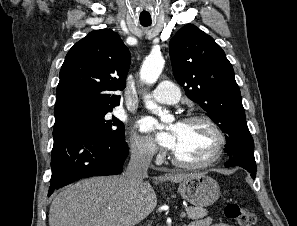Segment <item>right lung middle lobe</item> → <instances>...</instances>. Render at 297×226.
Listing matches in <instances>:
<instances>
[{
  "mask_svg": "<svg viewBox=\"0 0 297 226\" xmlns=\"http://www.w3.org/2000/svg\"><path fill=\"white\" fill-rule=\"evenodd\" d=\"M111 111L112 110H91L75 113L60 120H56L54 129L76 127L114 141L124 140V124L116 117L110 118L107 114Z\"/></svg>",
  "mask_w": 297,
  "mask_h": 226,
  "instance_id": "right-lung-middle-lobe-1",
  "label": "right lung middle lobe"
}]
</instances>
